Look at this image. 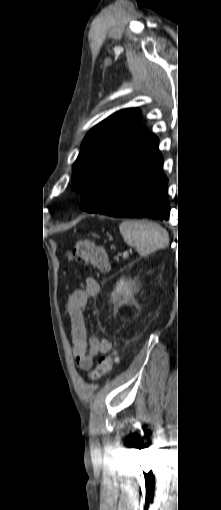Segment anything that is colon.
I'll return each mask as SVG.
<instances>
[{
    "label": "colon",
    "instance_id": "colon-1",
    "mask_svg": "<svg viewBox=\"0 0 221 510\" xmlns=\"http://www.w3.org/2000/svg\"><path fill=\"white\" fill-rule=\"evenodd\" d=\"M67 258L91 265L100 270H106L109 267L107 251L103 247L96 246L93 242L86 239L79 240L74 249L68 254ZM117 359L118 351L114 349L98 361L90 378L95 380L107 375L112 370Z\"/></svg>",
    "mask_w": 221,
    "mask_h": 510
}]
</instances>
